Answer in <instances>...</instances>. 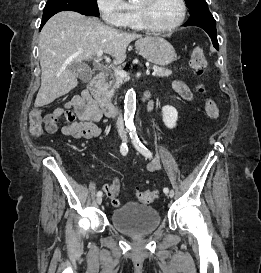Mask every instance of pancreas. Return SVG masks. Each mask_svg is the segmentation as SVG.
I'll list each match as a JSON object with an SVG mask.
<instances>
[{
  "mask_svg": "<svg viewBox=\"0 0 261 273\" xmlns=\"http://www.w3.org/2000/svg\"><path fill=\"white\" fill-rule=\"evenodd\" d=\"M153 70L157 72V76L159 77H168L172 74L171 70L159 66H153ZM111 78L112 79L109 81V83L104 85L106 94L109 96H112L115 90H117L126 81L125 78H122L115 73L111 76Z\"/></svg>",
  "mask_w": 261,
  "mask_h": 273,
  "instance_id": "pancreas-1",
  "label": "pancreas"
}]
</instances>
